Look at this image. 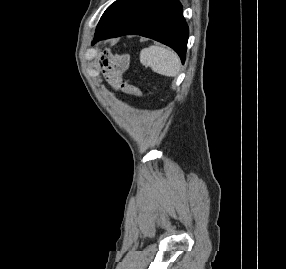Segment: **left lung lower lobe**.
I'll return each instance as SVG.
<instances>
[{
  "label": "left lung lower lobe",
  "mask_w": 286,
  "mask_h": 269,
  "mask_svg": "<svg viewBox=\"0 0 286 269\" xmlns=\"http://www.w3.org/2000/svg\"><path fill=\"white\" fill-rule=\"evenodd\" d=\"M188 26L178 0H143L108 29L95 34L93 43L123 35H141L173 48L185 60Z\"/></svg>",
  "instance_id": "1"
}]
</instances>
